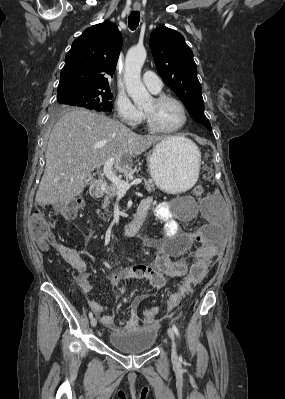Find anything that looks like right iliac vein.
<instances>
[{
    "label": "right iliac vein",
    "mask_w": 285,
    "mask_h": 399,
    "mask_svg": "<svg viewBox=\"0 0 285 399\" xmlns=\"http://www.w3.org/2000/svg\"><path fill=\"white\" fill-rule=\"evenodd\" d=\"M91 325H92L93 327H96V325H97V319H96V318H92V319H91Z\"/></svg>",
    "instance_id": "right-iliac-vein-1"
}]
</instances>
